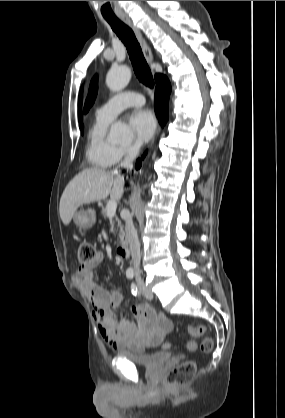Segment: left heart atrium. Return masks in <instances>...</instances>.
Wrapping results in <instances>:
<instances>
[{
  "mask_svg": "<svg viewBox=\"0 0 285 418\" xmlns=\"http://www.w3.org/2000/svg\"><path fill=\"white\" fill-rule=\"evenodd\" d=\"M129 124L138 140L148 141L156 131L157 122L149 109H136L129 116Z\"/></svg>",
  "mask_w": 285,
  "mask_h": 418,
  "instance_id": "1",
  "label": "left heart atrium"
}]
</instances>
